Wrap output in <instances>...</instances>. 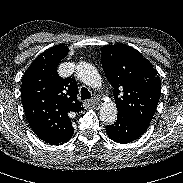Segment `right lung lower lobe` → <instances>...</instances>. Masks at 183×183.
I'll use <instances>...</instances> for the list:
<instances>
[{
  "label": "right lung lower lobe",
  "mask_w": 183,
  "mask_h": 183,
  "mask_svg": "<svg viewBox=\"0 0 183 183\" xmlns=\"http://www.w3.org/2000/svg\"><path fill=\"white\" fill-rule=\"evenodd\" d=\"M70 140V139H69ZM68 140V141H69ZM67 142V141H66ZM63 143H65V142H63ZM63 143H55V144H51V145H59V144H63Z\"/></svg>",
  "instance_id": "obj_1"
}]
</instances>
